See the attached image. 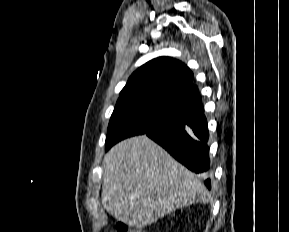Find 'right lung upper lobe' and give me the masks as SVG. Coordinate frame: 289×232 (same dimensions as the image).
Masks as SVG:
<instances>
[{
  "label": "right lung upper lobe",
  "mask_w": 289,
  "mask_h": 232,
  "mask_svg": "<svg viewBox=\"0 0 289 232\" xmlns=\"http://www.w3.org/2000/svg\"><path fill=\"white\" fill-rule=\"evenodd\" d=\"M119 99L147 100L182 112L202 107L193 73L170 57L155 58L137 69Z\"/></svg>",
  "instance_id": "cb5924a9"
}]
</instances>
